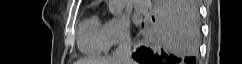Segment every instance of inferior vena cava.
I'll return each mask as SVG.
<instances>
[{
  "instance_id": "1",
  "label": "inferior vena cava",
  "mask_w": 242,
  "mask_h": 64,
  "mask_svg": "<svg viewBox=\"0 0 242 64\" xmlns=\"http://www.w3.org/2000/svg\"><path fill=\"white\" fill-rule=\"evenodd\" d=\"M131 38L126 35L120 41L118 47L113 53V59L117 64H131Z\"/></svg>"
}]
</instances>
